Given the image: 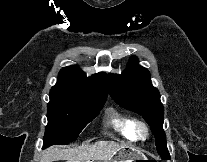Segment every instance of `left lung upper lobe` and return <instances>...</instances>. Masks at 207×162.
I'll list each match as a JSON object with an SVG mask.
<instances>
[{
	"mask_svg": "<svg viewBox=\"0 0 207 162\" xmlns=\"http://www.w3.org/2000/svg\"><path fill=\"white\" fill-rule=\"evenodd\" d=\"M111 97L125 109L143 116L156 138V147L162 158L169 156L163 130L164 107L159 91L153 87L149 71L132 57L129 67L121 75H109Z\"/></svg>",
	"mask_w": 207,
	"mask_h": 162,
	"instance_id": "left-lung-upper-lobe-1",
	"label": "left lung upper lobe"
}]
</instances>
